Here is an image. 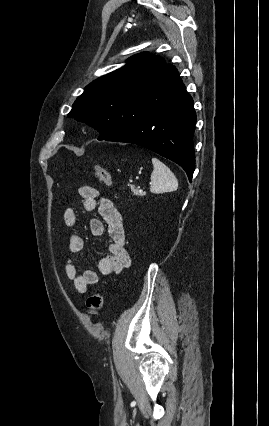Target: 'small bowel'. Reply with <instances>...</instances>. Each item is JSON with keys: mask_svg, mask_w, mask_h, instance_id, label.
I'll return each instance as SVG.
<instances>
[{"mask_svg": "<svg viewBox=\"0 0 269 426\" xmlns=\"http://www.w3.org/2000/svg\"><path fill=\"white\" fill-rule=\"evenodd\" d=\"M78 193L82 199V208L86 212L97 209L100 218L90 221V232L95 237L102 236L107 231L110 238L109 254L98 263V270L103 275L121 273L130 265V257L125 247V229L123 219L112 201L103 197L99 190L92 186H82ZM78 216L75 210L67 208L63 212V222L68 227L77 224ZM84 246V240L79 234H73L68 242L71 254H78ZM65 273L69 283L79 294H85L90 286L98 283V274L91 269L79 271L73 258L65 264Z\"/></svg>", "mask_w": 269, "mask_h": 426, "instance_id": "obj_1", "label": "small bowel"}]
</instances>
